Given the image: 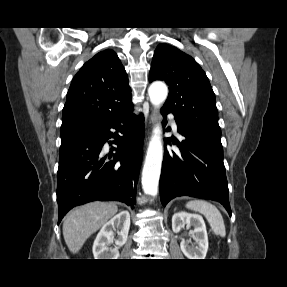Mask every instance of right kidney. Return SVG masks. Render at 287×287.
<instances>
[{"label":"right kidney","instance_id":"right-kidney-1","mask_svg":"<svg viewBox=\"0 0 287 287\" xmlns=\"http://www.w3.org/2000/svg\"><path fill=\"white\" fill-rule=\"evenodd\" d=\"M116 228L118 237L114 239ZM130 228V214L122 211L111 220L106 222L98 233L93 244V255L95 259H118L119 247L123 246L128 238ZM115 241V246L109 248L111 242Z\"/></svg>","mask_w":287,"mask_h":287}]
</instances>
